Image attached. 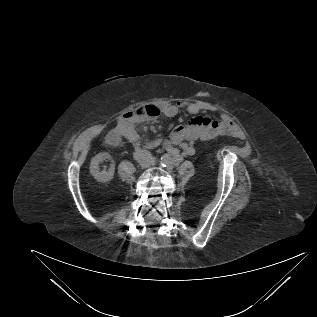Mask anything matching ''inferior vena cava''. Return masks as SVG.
Segmentation results:
<instances>
[{"mask_svg": "<svg viewBox=\"0 0 317 317\" xmlns=\"http://www.w3.org/2000/svg\"><path fill=\"white\" fill-rule=\"evenodd\" d=\"M134 159L142 166L149 167L153 164V157L148 150L136 149Z\"/></svg>", "mask_w": 317, "mask_h": 317, "instance_id": "1", "label": "inferior vena cava"}]
</instances>
